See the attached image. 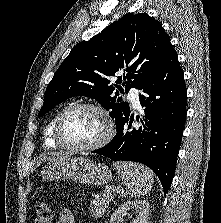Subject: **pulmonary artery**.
Returning <instances> with one entry per match:
<instances>
[{
    "label": "pulmonary artery",
    "mask_w": 221,
    "mask_h": 223,
    "mask_svg": "<svg viewBox=\"0 0 221 223\" xmlns=\"http://www.w3.org/2000/svg\"><path fill=\"white\" fill-rule=\"evenodd\" d=\"M140 91L138 89H131L128 93V98L131 100L133 106L135 108H139L140 106Z\"/></svg>",
    "instance_id": "obj_1"
}]
</instances>
